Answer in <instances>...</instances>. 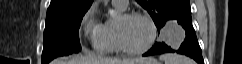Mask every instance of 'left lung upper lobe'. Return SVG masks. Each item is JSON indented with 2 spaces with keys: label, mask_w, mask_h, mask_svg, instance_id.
<instances>
[{
  "label": "left lung upper lobe",
  "mask_w": 242,
  "mask_h": 64,
  "mask_svg": "<svg viewBox=\"0 0 242 64\" xmlns=\"http://www.w3.org/2000/svg\"><path fill=\"white\" fill-rule=\"evenodd\" d=\"M148 11L157 26L158 33L168 20L190 12L189 0H136Z\"/></svg>",
  "instance_id": "1"
}]
</instances>
